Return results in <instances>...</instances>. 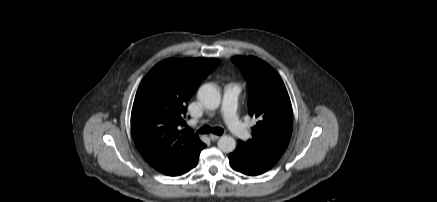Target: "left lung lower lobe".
Wrapping results in <instances>:
<instances>
[{
	"mask_svg": "<svg viewBox=\"0 0 437 202\" xmlns=\"http://www.w3.org/2000/svg\"><path fill=\"white\" fill-rule=\"evenodd\" d=\"M229 160L234 170L251 176L260 175L273 167L252 155L240 142L235 151L229 154Z\"/></svg>",
	"mask_w": 437,
	"mask_h": 202,
	"instance_id": "obj_1",
	"label": "left lung lower lobe"
}]
</instances>
